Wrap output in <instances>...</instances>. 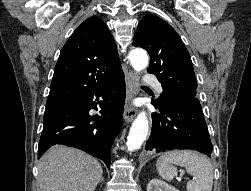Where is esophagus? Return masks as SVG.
I'll list each match as a JSON object with an SVG mask.
<instances>
[{"instance_id": "esophagus-1", "label": "esophagus", "mask_w": 251, "mask_h": 191, "mask_svg": "<svg viewBox=\"0 0 251 191\" xmlns=\"http://www.w3.org/2000/svg\"><path fill=\"white\" fill-rule=\"evenodd\" d=\"M138 91V77L133 71L129 70L127 74L126 103L124 107L125 122L132 121L138 113V109L132 104V100Z\"/></svg>"}]
</instances>
